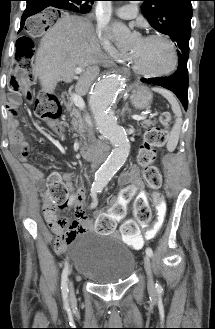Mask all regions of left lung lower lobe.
<instances>
[{
  "label": "left lung lower lobe",
  "mask_w": 215,
  "mask_h": 329,
  "mask_svg": "<svg viewBox=\"0 0 215 329\" xmlns=\"http://www.w3.org/2000/svg\"><path fill=\"white\" fill-rule=\"evenodd\" d=\"M188 57H179L178 68L168 77L141 79L144 83H152L172 91L183 104L185 110L188 105Z\"/></svg>",
  "instance_id": "0a47b994"
}]
</instances>
